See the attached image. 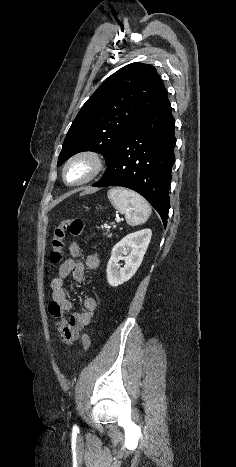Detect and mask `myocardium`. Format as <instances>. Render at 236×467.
<instances>
[{
    "instance_id": "myocardium-1",
    "label": "myocardium",
    "mask_w": 236,
    "mask_h": 467,
    "mask_svg": "<svg viewBox=\"0 0 236 467\" xmlns=\"http://www.w3.org/2000/svg\"><path fill=\"white\" fill-rule=\"evenodd\" d=\"M78 160L89 161L91 163V171L84 179L77 181V182L69 183L66 180V171L72 163ZM104 167H105V160L99 152L94 151V150H88V149L82 150V151H79L73 154L64 163V166L62 168V179L66 185L71 186V187L85 185L91 182L92 180H94L104 170Z\"/></svg>"
}]
</instances>
